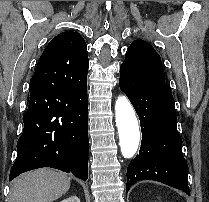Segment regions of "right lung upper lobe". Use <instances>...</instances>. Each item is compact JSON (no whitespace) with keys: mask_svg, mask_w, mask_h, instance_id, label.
Wrapping results in <instances>:
<instances>
[{"mask_svg":"<svg viewBox=\"0 0 209 202\" xmlns=\"http://www.w3.org/2000/svg\"><path fill=\"white\" fill-rule=\"evenodd\" d=\"M40 59H52V71L66 75L74 82L87 79V46L78 32L66 31L54 37Z\"/></svg>","mask_w":209,"mask_h":202,"instance_id":"cb5924a9","label":"right lung upper lobe"}]
</instances>
